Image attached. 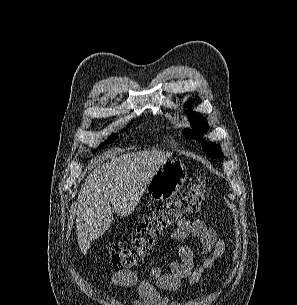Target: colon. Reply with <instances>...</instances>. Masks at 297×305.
<instances>
[{"label":"colon","instance_id":"1","mask_svg":"<svg viewBox=\"0 0 297 305\" xmlns=\"http://www.w3.org/2000/svg\"><path fill=\"white\" fill-rule=\"evenodd\" d=\"M209 191L208 179L203 174H198L191 186L179 197L159 204L151 215L140 222L130 243H112L109 251L112 269L125 271L140 265L166 229L200 211Z\"/></svg>","mask_w":297,"mask_h":305}]
</instances>
